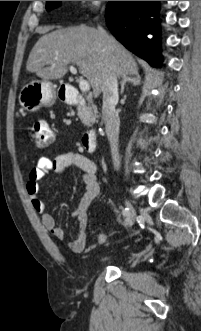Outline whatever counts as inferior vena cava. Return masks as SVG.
<instances>
[{"mask_svg": "<svg viewBox=\"0 0 201 331\" xmlns=\"http://www.w3.org/2000/svg\"><path fill=\"white\" fill-rule=\"evenodd\" d=\"M102 92V118L105 123L106 133L110 143L113 165L115 169H118L120 166V156L118 148L120 120L118 113L115 109L119 99L118 80L116 76L109 77L102 89Z\"/></svg>", "mask_w": 201, "mask_h": 331, "instance_id": "inferior-vena-cava-1", "label": "inferior vena cava"}]
</instances>
